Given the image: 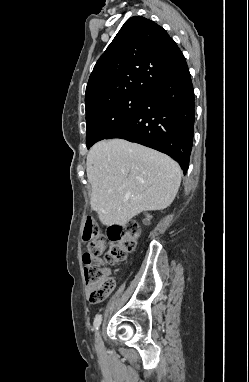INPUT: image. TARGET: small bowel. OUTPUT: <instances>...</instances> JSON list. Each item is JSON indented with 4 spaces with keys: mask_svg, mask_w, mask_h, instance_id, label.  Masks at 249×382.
I'll use <instances>...</instances> for the list:
<instances>
[{
    "mask_svg": "<svg viewBox=\"0 0 249 382\" xmlns=\"http://www.w3.org/2000/svg\"><path fill=\"white\" fill-rule=\"evenodd\" d=\"M109 272H110L109 269H105L106 274H109Z\"/></svg>",
    "mask_w": 249,
    "mask_h": 382,
    "instance_id": "1",
    "label": "small bowel"
}]
</instances>
